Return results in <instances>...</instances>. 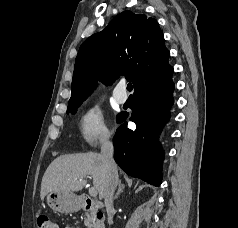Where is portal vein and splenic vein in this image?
I'll list each match as a JSON object with an SVG mask.
<instances>
[{"label": "portal vein and splenic vein", "mask_w": 238, "mask_h": 228, "mask_svg": "<svg viewBox=\"0 0 238 228\" xmlns=\"http://www.w3.org/2000/svg\"><path fill=\"white\" fill-rule=\"evenodd\" d=\"M89 194H90V196H92V197H96L97 194H98L97 189H96L95 187L89 188Z\"/></svg>", "instance_id": "obj_1"}]
</instances>
